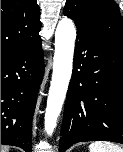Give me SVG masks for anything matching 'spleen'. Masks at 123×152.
Returning a JSON list of instances; mask_svg holds the SVG:
<instances>
[{
  "label": "spleen",
  "mask_w": 123,
  "mask_h": 152,
  "mask_svg": "<svg viewBox=\"0 0 123 152\" xmlns=\"http://www.w3.org/2000/svg\"><path fill=\"white\" fill-rule=\"evenodd\" d=\"M89 152H123V149L111 142L96 141L89 145Z\"/></svg>",
  "instance_id": "1"
}]
</instances>
